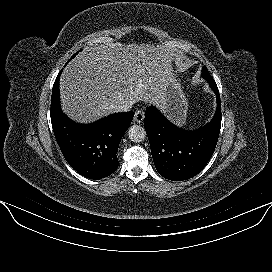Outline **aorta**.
Listing matches in <instances>:
<instances>
[{"label":"aorta","instance_id":"1","mask_svg":"<svg viewBox=\"0 0 272 272\" xmlns=\"http://www.w3.org/2000/svg\"><path fill=\"white\" fill-rule=\"evenodd\" d=\"M128 136L132 142L140 143L145 139L146 131L140 125H132L128 130Z\"/></svg>","mask_w":272,"mask_h":272}]
</instances>
